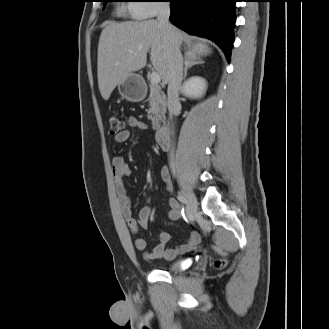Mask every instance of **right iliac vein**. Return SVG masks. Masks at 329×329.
Segmentation results:
<instances>
[{
	"label": "right iliac vein",
	"mask_w": 329,
	"mask_h": 329,
	"mask_svg": "<svg viewBox=\"0 0 329 329\" xmlns=\"http://www.w3.org/2000/svg\"><path fill=\"white\" fill-rule=\"evenodd\" d=\"M182 192L184 197L187 199V215L192 216L196 213L198 204L195 195L192 191L185 185L182 184Z\"/></svg>",
	"instance_id": "1"
}]
</instances>
